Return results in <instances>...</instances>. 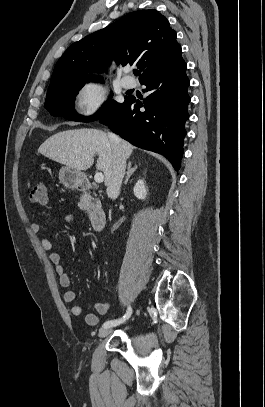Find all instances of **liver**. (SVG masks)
Masks as SVG:
<instances>
[{"label":"liver","instance_id":"6515ba94","mask_svg":"<svg viewBox=\"0 0 265 407\" xmlns=\"http://www.w3.org/2000/svg\"><path fill=\"white\" fill-rule=\"evenodd\" d=\"M125 158L133 152V145L119 139ZM38 152L49 159L77 171H85L94 163L98 155L97 170L104 173L105 184L111 175L113 166V149L108 133L91 128L62 131L49 137L42 143Z\"/></svg>","mask_w":265,"mask_h":407}]
</instances>
